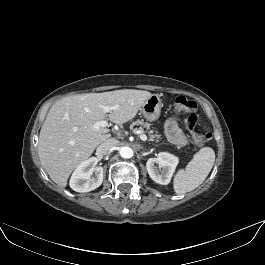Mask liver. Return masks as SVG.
Wrapping results in <instances>:
<instances>
[{
  "label": "liver",
  "instance_id": "1",
  "mask_svg": "<svg viewBox=\"0 0 265 265\" xmlns=\"http://www.w3.org/2000/svg\"><path fill=\"white\" fill-rule=\"evenodd\" d=\"M151 95L148 91L123 89L57 101L46 116L38 143V155L49 177L60 187H66L72 171L99 144L110 139L109 129H95L94 124L107 117L118 125L132 120ZM104 106L114 109L107 115Z\"/></svg>",
  "mask_w": 265,
  "mask_h": 265
}]
</instances>
